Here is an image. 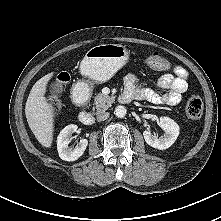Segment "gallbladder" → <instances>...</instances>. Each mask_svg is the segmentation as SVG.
I'll return each mask as SVG.
<instances>
[{
    "label": "gallbladder",
    "mask_w": 221,
    "mask_h": 221,
    "mask_svg": "<svg viewBox=\"0 0 221 221\" xmlns=\"http://www.w3.org/2000/svg\"><path fill=\"white\" fill-rule=\"evenodd\" d=\"M63 92V85L61 82L59 81H54L51 84V93L56 95V96H60Z\"/></svg>",
    "instance_id": "obj_1"
}]
</instances>
